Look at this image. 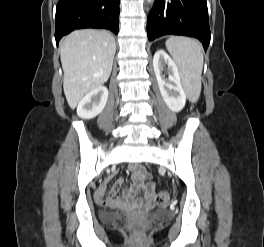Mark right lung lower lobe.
<instances>
[{
    "label": "right lung lower lobe",
    "mask_w": 264,
    "mask_h": 247,
    "mask_svg": "<svg viewBox=\"0 0 264 247\" xmlns=\"http://www.w3.org/2000/svg\"><path fill=\"white\" fill-rule=\"evenodd\" d=\"M120 0H59L56 7V43L82 28H103L118 34Z\"/></svg>",
    "instance_id": "98d812e1"
}]
</instances>
